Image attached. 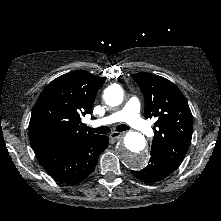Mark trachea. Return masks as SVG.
Here are the masks:
<instances>
[{
    "mask_svg": "<svg viewBox=\"0 0 221 221\" xmlns=\"http://www.w3.org/2000/svg\"><path fill=\"white\" fill-rule=\"evenodd\" d=\"M84 128L86 129V131H89V132H93V133H97V134H107L110 132V128L109 127H106V126H102V127H99V128H91L89 126H84ZM130 129L127 125H118L116 127V131H126Z\"/></svg>",
    "mask_w": 221,
    "mask_h": 221,
    "instance_id": "obj_1",
    "label": "trachea"
}]
</instances>
